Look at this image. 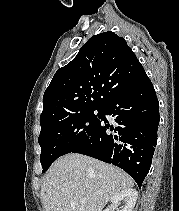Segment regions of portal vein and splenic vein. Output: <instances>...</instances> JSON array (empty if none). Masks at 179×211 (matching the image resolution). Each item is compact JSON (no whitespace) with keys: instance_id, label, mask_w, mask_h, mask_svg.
Instances as JSON below:
<instances>
[{"instance_id":"obj_1","label":"portal vein and splenic vein","mask_w":179,"mask_h":211,"mask_svg":"<svg viewBox=\"0 0 179 211\" xmlns=\"http://www.w3.org/2000/svg\"><path fill=\"white\" fill-rule=\"evenodd\" d=\"M80 203H81L82 205L86 204V198H81V199H80Z\"/></svg>"}]
</instances>
